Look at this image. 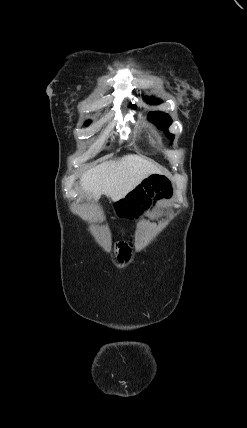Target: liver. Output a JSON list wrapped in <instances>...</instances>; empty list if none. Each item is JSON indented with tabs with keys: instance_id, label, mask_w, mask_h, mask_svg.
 Instances as JSON below:
<instances>
[{
	"instance_id": "liver-1",
	"label": "liver",
	"mask_w": 247,
	"mask_h": 428,
	"mask_svg": "<svg viewBox=\"0 0 247 428\" xmlns=\"http://www.w3.org/2000/svg\"><path fill=\"white\" fill-rule=\"evenodd\" d=\"M161 171L148 160L133 154L104 162L86 171L81 179L82 189L98 200L105 194L113 201L124 198L145 178Z\"/></svg>"
}]
</instances>
